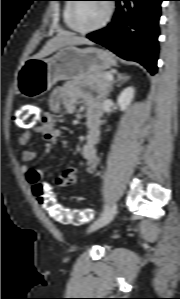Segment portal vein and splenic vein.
I'll use <instances>...</instances> for the list:
<instances>
[{
  "mask_svg": "<svg viewBox=\"0 0 180 299\" xmlns=\"http://www.w3.org/2000/svg\"><path fill=\"white\" fill-rule=\"evenodd\" d=\"M106 79H107L108 81H112V80H113V76H112V74H108V75L106 76Z\"/></svg>",
  "mask_w": 180,
  "mask_h": 299,
  "instance_id": "18ae733b",
  "label": "portal vein and splenic vein"
}]
</instances>
